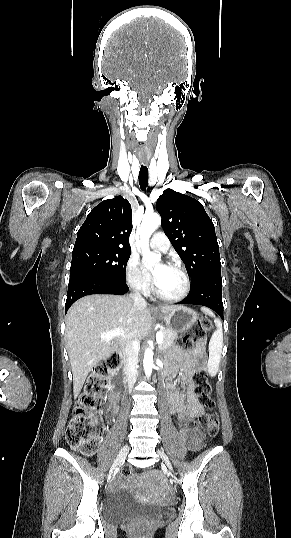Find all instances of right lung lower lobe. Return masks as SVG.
<instances>
[{
  "mask_svg": "<svg viewBox=\"0 0 291 538\" xmlns=\"http://www.w3.org/2000/svg\"><path fill=\"white\" fill-rule=\"evenodd\" d=\"M129 290L126 281L98 277H78L69 281L65 311L79 298L91 294L123 295Z\"/></svg>",
  "mask_w": 291,
  "mask_h": 538,
  "instance_id": "98d812e1",
  "label": "right lung lower lobe"
}]
</instances>
